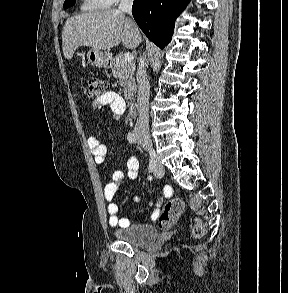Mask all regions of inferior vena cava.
Returning <instances> with one entry per match:
<instances>
[{
    "instance_id": "1",
    "label": "inferior vena cava",
    "mask_w": 288,
    "mask_h": 293,
    "mask_svg": "<svg viewBox=\"0 0 288 293\" xmlns=\"http://www.w3.org/2000/svg\"><path fill=\"white\" fill-rule=\"evenodd\" d=\"M133 0H121L118 11L131 14ZM145 62L140 58L138 70L136 74L138 84V97H139V115L135 125V132L137 136L149 137V96L150 84L144 69Z\"/></svg>"
}]
</instances>
